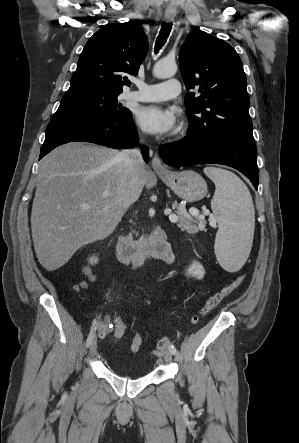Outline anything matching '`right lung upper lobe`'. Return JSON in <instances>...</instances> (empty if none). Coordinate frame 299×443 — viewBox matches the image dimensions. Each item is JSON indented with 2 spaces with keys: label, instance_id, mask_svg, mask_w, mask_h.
I'll return each instance as SVG.
<instances>
[{
  "label": "right lung upper lobe",
  "instance_id": "1",
  "mask_svg": "<svg viewBox=\"0 0 299 443\" xmlns=\"http://www.w3.org/2000/svg\"><path fill=\"white\" fill-rule=\"evenodd\" d=\"M148 51L139 21L109 24L86 43L73 73L70 88L94 87L122 92L130 86L126 75H137Z\"/></svg>",
  "mask_w": 299,
  "mask_h": 443
}]
</instances>
